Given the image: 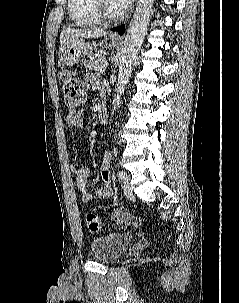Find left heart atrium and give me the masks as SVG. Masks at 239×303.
I'll return each mask as SVG.
<instances>
[{
  "label": "left heart atrium",
  "instance_id": "left-heart-atrium-1",
  "mask_svg": "<svg viewBox=\"0 0 239 303\" xmlns=\"http://www.w3.org/2000/svg\"><path fill=\"white\" fill-rule=\"evenodd\" d=\"M114 5L120 10V12L128 9L133 0H112Z\"/></svg>",
  "mask_w": 239,
  "mask_h": 303
}]
</instances>
